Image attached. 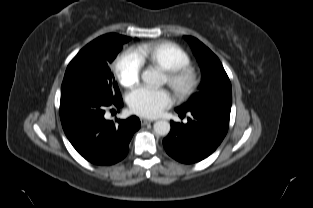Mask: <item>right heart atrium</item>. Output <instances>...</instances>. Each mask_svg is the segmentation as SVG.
Wrapping results in <instances>:
<instances>
[{
    "mask_svg": "<svg viewBox=\"0 0 313 208\" xmlns=\"http://www.w3.org/2000/svg\"><path fill=\"white\" fill-rule=\"evenodd\" d=\"M143 62L135 51L123 53L115 64V73L120 84L126 88L135 86L140 79Z\"/></svg>",
    "mask_w": 313,
    "mask_h": 208,
    "instance_id": "right-heart-atrium-1",
    "label": "right heart atrium"
}]
</instances>
